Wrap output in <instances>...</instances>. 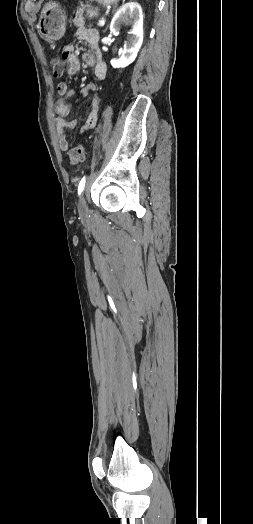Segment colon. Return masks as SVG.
I'll return each instance as SVG.
<instances>
[{"mask_svg":"<svg viewBox=\"0 0 253 524\" xmlns=\"http://www.w3.org/2000/svg\"><path fill=\"white\" fill-rule=\"evenodd\" d=\"M51 68H52V74L55 78H60L65 73L64 68L66 64L62 60L61 57L55 56L52 57L50 60ZM85 158V148L83 145H76L73 146L68 151V160L70 164L76 165L81 162H83Z\"/></svg>","mask_w":253,"mask_h":524,"instance_id":"1","label":"colon"}]
</instances>
